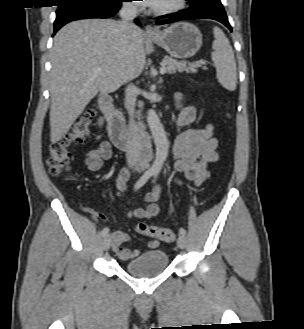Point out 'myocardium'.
<instances>
[{
	"label": "myocardium",
	"instance_id": "myocardium-1",
	"mask_svg": "<svg viewBox=\"0 0 304 329\" xmlns=\"http://www.w3.org/2000/svg\"><path fill=\"white\" fill-rule=\"evenodd\" d=\"M186 2V0H175L173 1V3L164 7H153L151 11L152 13L158 16L172 15L184 9L186 6Z\"/></svg>",
	"mask_w": 304,
	"mask_h": 329
}]
</instances>
